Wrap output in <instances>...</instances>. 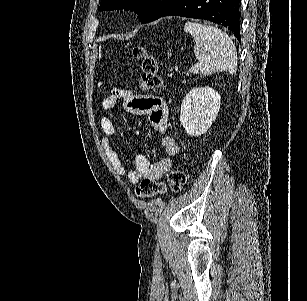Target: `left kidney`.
Masks as SVG:
<instances>
[{"instance_id":"obj_1","label":"left kidney","mask_w":307,"mask_h":301,"mask_svg":"<svg viewBox=\"0 0 307 301\" xmlns=\"http://www.w3.org/2000/svg\"><path fill=\"white\" fill-rule=\"evenodd\" d=\"M220 100L219 92L211 86H194L187 92L180 112V122L187 134L200 136L207 132L219 112Z\"/></svg>"}]
</instances>
